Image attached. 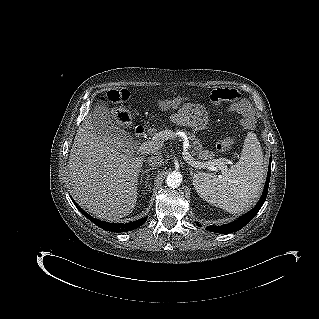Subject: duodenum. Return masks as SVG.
Instances as JSON below:
<instances>
[{
    "label": "duodenum",
    "instance_id": "obj_1",
    "mask_svg": "<svg viewBox=\"0 0 319 319\" xmlns=\"http://www.w3.org/2000/svg\"><path fill=\"white\" fill-rule=\"evenodd\" d=\"M145 132H146L145 127L142 125H139L135 128L134 134L137 139H140L145 135Z\"/></svg>",
    "mask_w": 319,
    "mask_h": 319
}]
</instances>
